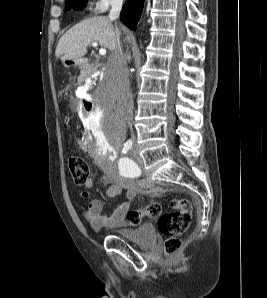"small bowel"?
<instances>
[{
	"label": "small bowel",
	"instance_id": "1",
	"mask_svg": "<svg viewBox=\"0 0 267 298\" xmlns=\"http://www.w3.org/2000/svg\"><path fill=\"white\" fill-rule=\"evenodd\" d=\"M105 182L109 185L107 197L113 198L121 195L125 190L127 200L122 202L112 213L103 214V204L100 200L90 197L88 189L93 186V181H89L84 185L85 190L82 197L87 200V206L83 210V217L94 231L103 228H119L125 225V217L130 208V200L136 195L138 185L131 181L123 179L118 175L108 174Z\"/></svg>",
	"mask_w": 267,
	"mask_h": 298
}]
</instances>
